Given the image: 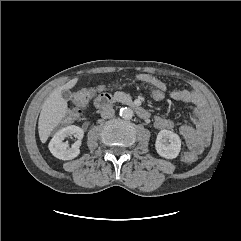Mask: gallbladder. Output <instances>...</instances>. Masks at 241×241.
Wrapping results in <instances>:
<instances>
[{
    "mask_svg": "<svg viewBox=\"0 0 241 241\" xmlns=\"http://www.w3.org/2000/svg\"><path fill=\"white\" fill-rule=\"evenodd\" d=\"M62 97L66 100V101H69L71 98H72V94L70 91L68 90H64L62 93H61Z\"/></svg>",
    "mask_w": 241,
    "mask_h": 241,
    "instance_id": "obj_1",
    "label": "gallbladder"
}]
</instances>
